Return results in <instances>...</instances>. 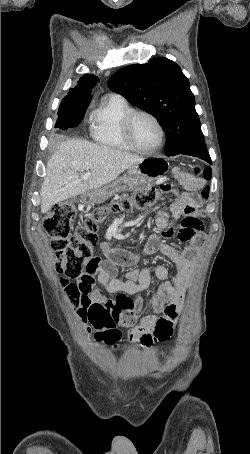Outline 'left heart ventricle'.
Returning <instances> with one entry per match:
<instances>
[{
	"instance_id": "b2bd125f",
	"label": "left heart ventricle",
	"mask_w": 250,
	"mask_h": 454,
	"mask_svg": "<svg viewBox=\"0 0 250 454\" xmlns=\"http://www.w3.org/2000/svg\"><path fill=\"white\" fill-rule=\"evenodd\" d=\"M133 138L139 147L150 149L158 142L159 132L151 119L139 116L133 124Z\"/></svg>"
}]
</instances>
